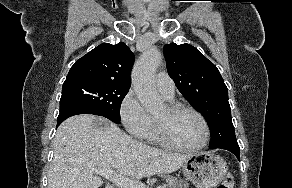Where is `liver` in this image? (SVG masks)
Returning <instances> with one entry per match:
<instances>
[{
	"label": "liver",
	"instance_id": "1",
	"mask_svg": "<svg viewBox=\"0 0 292 188\" xmlns=\"http://www.w3.org/2000/svg\"><path fill=\"white\" fill-rule=\"evenodd\" d=\"M54 157L48 188H99L103 181L93 169L115 170L141 179L172 173L190 154H177L142 144L109 120L76 115L65 120L53 140Z\"/></svg>",
	"mask_w": 292,
	"mask_h": 188
}]
</instances>
